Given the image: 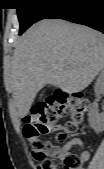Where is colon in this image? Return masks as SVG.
Returning <instances> with one entry per match:
<instances>
[{"label": "colon", "instance_id": "obj_1", "mask_svg": "<svg viewBox=\"0 0 104 169\" xmlns=\"http://www.w3.org/2000/svg\"><path fill=\"white\" fill-rule=\"evenodd\" d=\"M89 107V100L80 92L64 94L57 104L34 105L24 117L23 132L30 143L38 169H58L56 158L59 156V147L50 142H44L40 136L51 131L58 120L67 116L69 119L64 132L58 139L64 140L67 134L73 133L84 121L85 112ZM65 169H78L81 160L75 154H68L63 159Z\"/></svg>", "mask_w": 104, "mask_h": 169}]
</instances>
